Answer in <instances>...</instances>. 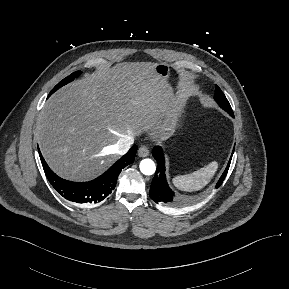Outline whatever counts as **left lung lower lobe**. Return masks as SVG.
Segmentation results:
<instances>
[{"label":"left lung lower lobe","mask_w":289,"mask_h":289,"mask_svg":"<svg viewBox=\"0 0 289 289\" xmlns=\"http://www.w3.org/2000/svg\"><path fill=\"white\" fill-rule=\"evenodd\" d=\"M225 111H227L232 117L234 116L231 108H228V110H225ZM233 152H234V149H233ZM233 152H232V155H233ZM152 154L158 163V168L156 170L155 176L151 183L150 198L156 203H161L163 206H175L177 202L174 200V192L169 188L167 181H166L165 162H164V156H163L161 147L155 146L153 148ZM231 159L232 157L230 158L222 176L218 180L216 188L221 186V184L223 183L227 175V172L231 163Z\"/></svg>","instance_id":"obj_1"}]
</instances>
